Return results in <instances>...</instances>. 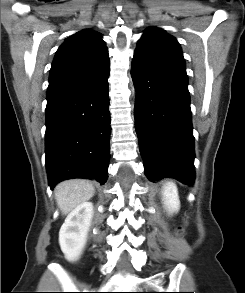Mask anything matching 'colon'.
Returning a JSON list of instances; mask_svg holds the SVG:
<instances>
[{
  "mask_svg": "<svg viewBox=\"0 0 245 293\" xmlns=\"http://www.w3.org/2000/svg\"><path fill=\"white\" fill-rule=\"evenodd\" d=\"M178 233H179V235H183L184 234V230L182 228H179Z\"/></svg>",
  "mask_w": 245,
  "mask_h": 293,
  "instance_id": "5ec220e1",
  "label": "colon"
}]
</instances>
